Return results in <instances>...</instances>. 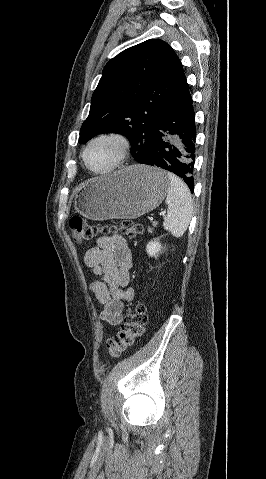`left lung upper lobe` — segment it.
Wrapping results in <instances>:
<instances>
[{
    "label": "left lung upper lobe",
    "mask_w": 266,
    "mask_h": 479,
    "mask_svg": "<svg viewBox=\"0 0 266 479\" xmlns=\"http://www.w3.org/2000/svg\"><path fill=\"white\" fill-rule=\"evenodd\" d=\"M185 79L179 58L162 40L150 39L124 50L103 70L80 142L119 133L131 142L133 158L143 163L162 113Z\"/></svg>",
    "instance_id": "obj_1"
}]
</instances>
